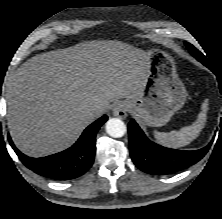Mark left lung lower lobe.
Returning a JSON list of instances; mask_svg holds the SVG:
<instances>
[{
	"label": "left lung lower lobe",
	"mask_w": 222,
	"mask_h": 219,
	"mask_svg": "<svg viewBox=\"0 0 222 219\" xmlns=\"http://www.w3.org/2000/svg\"><path fill=\"white\" fill-rule=\"evenodd\" d=\"M199 62L212 69L207 58L192 54ZM222 124V119H221ZM130 155L134 164L142 171L165 175L181 171L197 163L208 151L212 142L195 151H182L162 147L150 141L132 119L128 124Z\"/></svg>",
	"instance_id": "1"
}]
</instances>
